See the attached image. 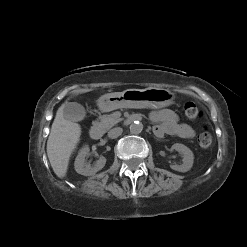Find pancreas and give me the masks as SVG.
<instances>
[{"mask_svg":"<svg viewBox=\"0 0 247 247\" xmlns=\"http://www.w3.org/2000/svg\"><path fill=\"white\" fill-rule=\"evenodd\" d=\"M122 118H120V115L118 112H115L110 115H103L100 117V122L97 124L104 130H108L114 125H116L118 122H120Z\"/></svg>","mask_w":247,"mask_h":247,"instance_id":"obj_1","label":"pancreas"}]
</instances>
